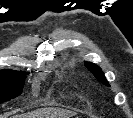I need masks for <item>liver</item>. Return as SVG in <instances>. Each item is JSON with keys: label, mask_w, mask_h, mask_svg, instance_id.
<instances>
[{"label": "liver", "mask_w": 133, "mask_h": 118, "mask_svg": "<svg viewBox=\"0 0 133 118\" xmlns=\"http://www.w3.org/2000/svg\"><path fill=\"white\" fill-rule=\"evenodd\" d=\"M73 115H75V113L64 110L40 109L18 116L17 118H56L57 116L69 118Z\"/></svg>", "instance_id": "liver-1"}]
</instances>
